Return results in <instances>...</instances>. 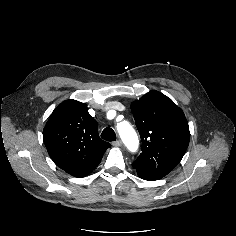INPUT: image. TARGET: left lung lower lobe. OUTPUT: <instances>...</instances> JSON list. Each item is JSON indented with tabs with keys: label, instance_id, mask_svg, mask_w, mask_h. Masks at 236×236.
Masks as SVG:
<instances>
[{
	"label": "left lung lower lobe",
	"instance_id": "left-lung-lower-lobe-1",
	"mask_svg": "<svg viewBox=\"0 0 236 236\" xmlns=\"http://www.w3.org/2000/svg\"><path fill=\"white\" fill-rule=\"evenodd\" d=\"M137 174H138L139 177H141V178L144 179V180H148V181L157 180V179H155V178H153V177H149V176H147V175H145L144 173L139 172V171H137Z\"/></svg>",
	"mask_w": 236,
	"mask_h": 236
}]
</instances>
